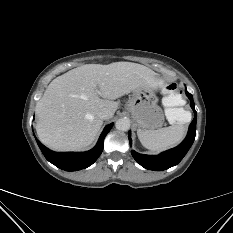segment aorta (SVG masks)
<instances>
[{
  "instance_id": "obj_1",
  "label": "aorta",
  "mask_w": 233,
  "mask_h": 233,
  "mask_svg": "<svg viewBox=\"0 0 233 233\" xmlns=\"http://www.w3.org/2000/svg\"><path fill=\"white\" fill-rule=\"evenodd\" d=\"M115 127L119 131H128L130 129V121L126 118L118 119L115 123Z\"/></svg>"
}]
</instances>
